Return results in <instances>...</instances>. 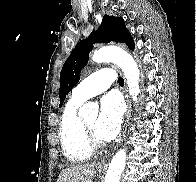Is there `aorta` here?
Wrapping results in <instances>:
<instances>
[{
    "instance_id": "aorta-1",
    "label": "aorta",
    "mask_w": 196,
    "mask_h": 182,
    "mask_svg": "<svg viewBox=\"0 0 196 182\" xmlns=\"http://www.w3.org/2000/svg\"><path fill=\"white\" fill-rule=\"evenodd\" d=\"M96 63L114 62L124 72L130 95L133 101H137V96L140 93L139 88V68L133 57L126 51L115 47H104L96 50L92 57ZM99 106L95 103L88 102L79 111V115L86 117L90 114L95 117L98 115ZM126 165V150H119L112 158L109 165L105 182H119L122 172Z\"/></svg>"
}]
</instances>
